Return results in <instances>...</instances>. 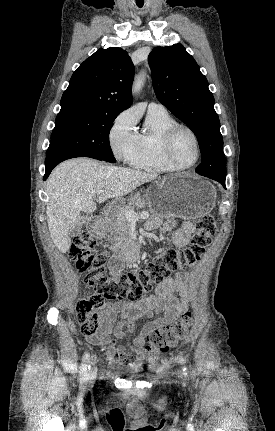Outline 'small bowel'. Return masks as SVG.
<instances>
[{"label":"small bowel","mask_w":275,"mask_h":431,"mask_svg":"<svg viewBox=\"0 0 275 431\" xmlns=\"http://www.w3.org/2000/svg\"><path fill=\"white\" fill-rule=\"evenodd\" d=\"M160 225L155 218L147 222L149 229ZM162 232L172 231V241L178 248L185 247L194 232L190 221L183 222L179 227L169 221L161 226ZM121 264L116 258L110 262V274L119 275ZM176 294L180 295L176 297ZM189 292L186 285V275L178 273L165 279L157 285L155 293L137 301L107 303L103 308L104 324L94 337H87L89 343L100 345L105 358L114 364L129 363L132 355L142 356L148 333L161 328L178 319L189 306ZM156 318L146 322L139 333L132 337L141 318ZM119 317V320H117ZM117 339H125L124 345L115 346Z\"/></svg>","instance_id":"small-bowel-1"}]
</instances>
